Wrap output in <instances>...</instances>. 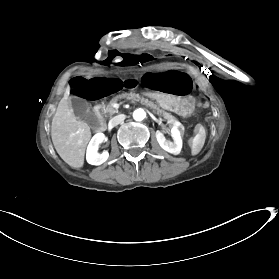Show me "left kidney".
Wrapping results in <instances>:
<instances>
[{
    "instance_id": "obj_1",
    "label": "left kidney",
    "mask_w": 279,
    "mask_h": 279,
    "mask_svg": "<svg viewBox=\"0 0 279 279\" xmlns=\"http://www.w3.org/2000/svg\"><path fill=\"white\" fill-rule=\"evenodd\" d=\"M170 124L173 126L170 131L173 141L171 142L167 140L164 136V133L159 130L156 131V139L163 150L170 154L178 155L182 147V140L180 136V130L182 126L179 122L176 121H172Z\"/></svg>"
}]
</instances>
